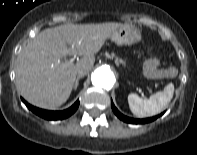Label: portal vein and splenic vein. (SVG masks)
Listing matches in <instances>:
<instances>
[{
    "mask_svg": "<svg viewBox=\"0 0 197 155\" xmlns=\"http://www.w3.org/2000/svg\"><path fill=\"white\" fill-rule=\"evenodd\" d=\"M70 64H72V60H69V61H67V62L65 63V65H70Z\"/></svg>",
    "mask_w": 197,
    "mask_h": 155,
    "instance_id": "portal-vein-and-splenic-vein-1",
    "label": "portal vein and splenic vein"
}]
</instances>
